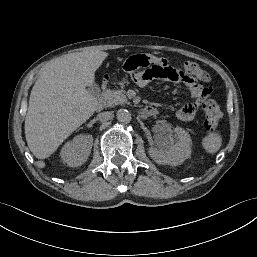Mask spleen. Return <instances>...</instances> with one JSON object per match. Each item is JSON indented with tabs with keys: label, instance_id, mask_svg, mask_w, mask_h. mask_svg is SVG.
<instances>
[{
	"label": "spleen",
	"instance_id": "obj_1",
	"mask_svg": "<svg viewBox=\"0 0 257 257\" xmlns=\"http://www.w3.org/2000/svg\"><path fill=\"white\" fill-rule=\"evenodd\" d=\"M203 148L207 153H216L222 145V136L219 132H210L202 140Z\"/></svg>",
	"mask_w": 257,
	"mask_h": 257
}]
</instances>
